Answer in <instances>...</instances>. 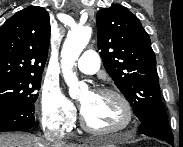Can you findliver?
I'll return each instance as SVG.
<instances>
[{
    "mask_svg": "<svg viewBox=\"0 0 183 147\" xmlns=\"http://www.w3.org/2000/svg\"><path fill=\"white\" fill-rule=\"evenodd\" d=\"M92 147L94 143L83 144L79 147ZM0 147H77L74 144H55L49 143L46 140L30 135L21 133H8L0 134Z\"/></svg>",
    "mask_w": 183,
    "mask_h": 147,
    "instance_id": "liver-1",
    "label": "liver"
}]
</instances>
